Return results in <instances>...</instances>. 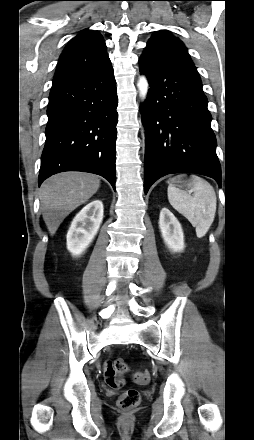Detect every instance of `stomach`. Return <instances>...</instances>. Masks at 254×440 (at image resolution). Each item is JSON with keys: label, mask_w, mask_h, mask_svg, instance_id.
<instances>
[{"label": "stomach", "mask_w": 254, "mask_h": 440, "mask_svg": "<svg viewBox=\"0 0 254 440\" xmlns=\"http://www.w3.org/2000/svg\"><path fill=\"white\" fill-rule=\"evenodd\" d=\"M170 182L171 183H175V182H177V180L176 179H172V180H170Z\"/></svg>", "instance_id": "obj_1"}]
</instances>
